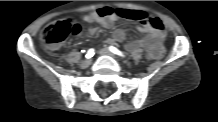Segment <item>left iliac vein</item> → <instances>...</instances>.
<instances>
[{
    "mask_svg": "<svg viewBox=\"0 0 218 122\" xmlns=\"http://www.w3.org/2000/svg\"><path fill=\"white\" fill-rule=\"evenodd\" d=\"M99 54H101V55H106V56H110V57H112V58H115L114 54H113L109 49H107V48H101V49L99 50Z\"/></svg>",
    "mask_w": 218,
    "mask_h": 122,
    "instance_id": "obj_1",
    "label": "left iliac vein"
}]
</instances>
